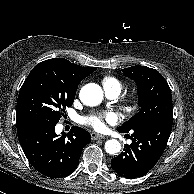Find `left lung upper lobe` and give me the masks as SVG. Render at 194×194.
<instances>
[{"mask_svg":"<svg viewBox=\"0 0 194 194\" xmlns=\"http://www.w3.org/2000/svg\"><path fill=\"white\" fill-rule=\"evenodd\" d=\"M124 76L134 80L138 87L140 111L117 130L129 132L140 121L172 118L171 90L164 77L156 70L146 66H132L122 69Z\"/></svg>","mask_w":194,"mask_h":194,"instance_id":"1","label":"left lung upper lobe"}]
</instances>
